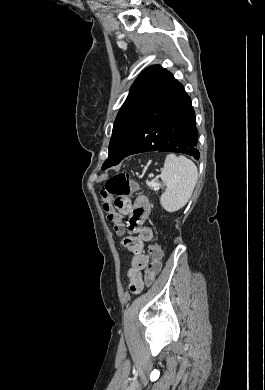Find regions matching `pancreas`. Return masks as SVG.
I'll list each match as a JSON object with an SVG mask.
<instances>
[{"label":"pancreas","mask_w":265,"mask_h":390,"mask_svg":"<svg viewBox=\"0 0 265 390\" xmlns=\"http://www.w3.org/2000/svg\"><path fill=\"white\" fill-rule=\"evenodd\" d=\"M151 183H152V182H151ZM151 183L148 184L150 187H152V186H151Z\"/></svg>","instance_id":"pancreas-1"}]
</instances>
